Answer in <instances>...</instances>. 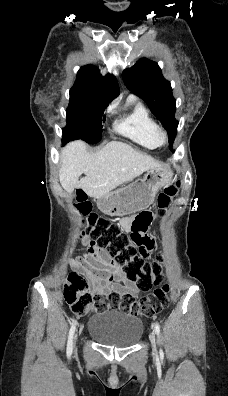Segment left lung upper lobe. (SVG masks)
I'll use <instances>...</instances> for the list:
<instances>
[{
    "label": "left lung upper lobe",
    "mask_w": 228,
    "mask_h": 396,
    "mask_svg": "<svg viewBox=\"0 0 228 396\" xmlns=\"http://www.w3.org/2000/svg\"><path fill=\"white\" fill-rule=\"evenodd\" d=\"M127 88L139 95L152 113L168 131L170 149L177 133L175 120L176 100L172 95L170 82L163 76L156 62L140 59L133 67L123 72Z\"/></svg>",
    "instance_id": "5c2ea615"
}]
</instances>
